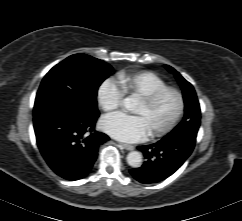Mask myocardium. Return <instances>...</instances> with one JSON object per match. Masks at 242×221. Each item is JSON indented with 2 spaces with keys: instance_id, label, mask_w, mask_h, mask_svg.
I'll return each instance as SVG.
<instances>
[{
  "instance_id": "f54148a6",
  "label": "myocardium",
  "mask_w": 242,
  "mask_h": 221,
  "mask_svg": "<svg viewBox=\"0 0 242 221\" xmlns=\"http://www.w3.org/2000/svg\"><path fill=\"white\" fill-rule=\"evenodd\" d=\"M167 94H172L176 99V109L173 114V116L170 118V120L165 123L164 125L154 128L149 131V134L151 136H161L168 132H170L179 122L181 119L184 107H185V101L184 96L180 90H178L175 87L165 86L162 88H159L147 95L141 96L140 100L147 106H152L156 102H158L163 96Z\"/></svg>"
}]
</instances>
